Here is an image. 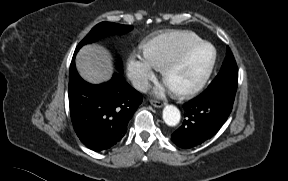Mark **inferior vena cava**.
Segmentation results:
<instances>
[{
	"label": "inferior vena cava",
	"mask_w": 288,
	"mask_h": 181,
	"mask_svg": "<svg viewBox=\"0 0 288 181\" xmlns=\"http://www.w3.org/2000/svg\"><path fill=\"white\" fill-rule=\"evenodd\" d=\"M133 87L141 92H147L150 89V83L147 78L138 77L132 82Z\"/></svg>",
	"instance_id": "602c4592"
}]
</instances>
